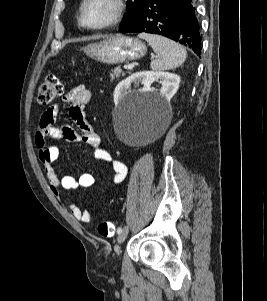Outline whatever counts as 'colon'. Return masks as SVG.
I'll list each match as a JSON object with an SVG mask.
<instances>
[{"mask_svg": "<svg viewBox=\"0 0 267 301\" xmlns=\"http://www.w3.org/2000/svg\"><path fill=\"white\" fill-rule=\"evenodd\" d=\"M64 85L56 76H48L40 86L37 101L40 105L52 103L56 97L63 93ZM98 233L103 237H111L115 233V225L111 221H100L97 225Z\"/></svg>", "mask_w": 267, "mask_h": 301, "instance_id": "obj_1", "label": "colon"}]
</instances>
